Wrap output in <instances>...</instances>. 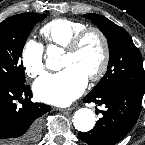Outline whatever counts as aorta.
<instances>
[{"label":"aorta","mask_w":145,"mask_h":145,"mask_svg":"<svg viewBox=\"0 0 145 145\" xmlns=\"http://www.w3.org/2000/svg\"><path fill=\"white\" fill-rule=\"evenodd\" d=\"M63 53L62 48L56 45L50 44L46 48V61L45 65L49 70L58 71L62 68V64L59 60L61 54ZM73 125L75 129L80 132H88L95 126L96 118L95 114L91 109L80 108L74 113Z\"/></svg>","instance_id":"762f6f07"}]
</instances>
